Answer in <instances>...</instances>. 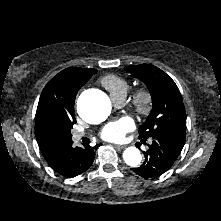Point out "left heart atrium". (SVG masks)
<instances>
[{
  "instance_id": "obj_1",
  "label": "left heart atrium",
  "mask_w": 221,
  "mask_h": 221,
  "mask_svg": "<svg viewBox=\"0 0 221 221\" xmlns=\"http://www.w3.org/2000/svg\"><path fill=\"white\" fill-rule=\"evenodd\" d=\"M134 128L133 121L128 117L108 123L101 132V137L108 141H121L127 132Z\"/></svg>"
}]
</instances>
